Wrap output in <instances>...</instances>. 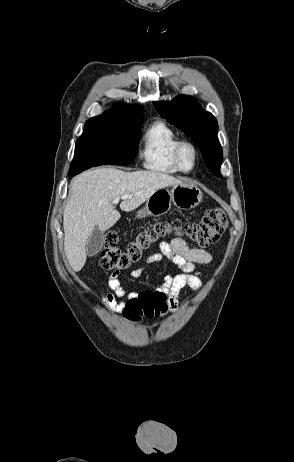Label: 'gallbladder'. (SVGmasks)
I'll use <instances>...</instances> for the list:
<instances>
[{
  "mask_svg": "<svg viewBox=\"0 0 294 462\" xmlns=\"http://www.w3.org/2000/svg\"><path fill=\"white\" fill-rule=\"evenodd\" d=\"M104 233L99 228H94L86 243V253L89 257L96 255L102 249Z\"/></svg>",
  "mask_w": 294,
  "mask_h": 462,
  "instance_id": "bac80fb5",
  "label": "gallbladder"
}]
</instances>
